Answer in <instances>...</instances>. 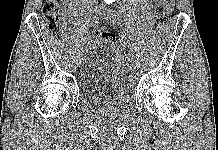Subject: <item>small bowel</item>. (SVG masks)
Instances as JSON below:
<instances>
[{"label": "small bowel", "instance_id": "obj_1", "mask_svg": "<svg viewBox=\"0 0 218 150\" xmlns=\"http://www.w3.org/2000/svg\"><path fill=\"white\" fill-rule=\"evenodd\" d=\"M160 4L167 7L170 11L173 9L174 3L173 0H158Z\"/></svg>", "mask_w": 218, "mask_h": 150}]
</instances>
